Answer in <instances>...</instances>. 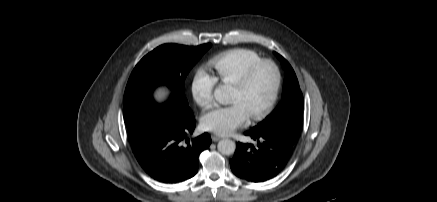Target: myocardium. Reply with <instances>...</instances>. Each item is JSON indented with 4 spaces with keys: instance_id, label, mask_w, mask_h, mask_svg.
Listing matches in <instances>:
<instances>
[{
    "instance_id": "1",
    "label": "myocardium",
    "mask_w": 437,
    "mask_h": 202,
    "mask_svg": "<svg viewBox=\"0 0 437 202\" xmlns=\"http://www.w3.org/2000/svg\"><path fill=\"white\" fill-rule=\"evenodd\" d=\"M262 65H270L273 68L274 73H275V83H274L272 94H271L269 100L267 101V103L258 112L254 113L253 115L250 116V119L253 121H259V120L263 119L264 117H266L270 113V111L272 110V108L274 107V105L278 99V95H279L280 88H281V82H282V74H281V70H280L279 66L277 65V63L275 61H273L271 59H260L256 62H254L253 64H251L243 72V74L232 84L233 86L239 87V88L246 87L249 84L250 80L252 79L254 73Z\"/></svg>"
}]
</instances>
